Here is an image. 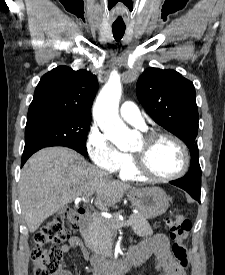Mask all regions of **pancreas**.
I'll list each match as a JSON object with an SVG mask.
<instances>
[{"mask_svg":"<svg viewBox=\"0 0 225 275\" xmlns=\"http://www.w3.org/2000/svg\"><path fill=\"white\" fill-rule=\"evenodd\" d=\"M132 230L138 236H150L153 230L145 217L140 214H132L130 218ZM123 222L114 214V218L105 219L102 217L94 218L87 226L84 232V238L88 248L95 254L109 256L112 252V241L117 234V230L121 228Z\"/></svg>","mask_w":225,"mask_h":275,"instance_id":"cf45deb5","label":"pancreas"}]
</instances>
